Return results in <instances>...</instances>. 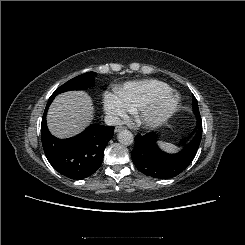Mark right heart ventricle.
<instances>
[{
	"mask_svg": "<svg viewBox=\"0 0 245 245\" xmlns=\"http://www.w3.org/2000/svg\"><path fill=\"white\" fill-rule=\"evenodd\" d=\"M171 91L172 88L167 83L156 79H148L125 83L117 89V94L130 111H135L142 104Z\"/></svg>",
	"mask_w": 245,
	"mask_h": 245,
	"instance_id": "1",
	"label": "right heart ventricle"
}]
</instances>
